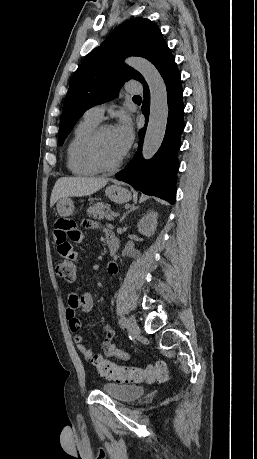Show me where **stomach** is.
Here are the masks:
<instances>
[{"instance_id":"0dacf381","label":"stomach","mask_w":257,"mask_h":459,"mask_svg":"<svg viewBox=\"0 0 257 459\" xmlns=\"http://www.w3.org/2000/svg\"><path fill=\"white\" fill-rule=\"evenodd\" d=\"M105 193L111 201L116 203H126L131 199V193L119 185L108 186ZM56 208L58 214L62 217L73 215L75 209L73 201L68 197L60 198Z\"/></svg>"}]
</instances>
